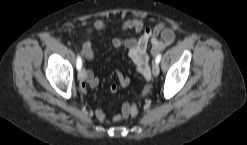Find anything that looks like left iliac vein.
<instances>
[{
    "label": "left iliac vein",
    "instance_id": "left-iliac-vein-1",
    "mask_svg": "<svg viewBox=\"0 0 247 145\" xmlns=\"http://www.w3.org/2000/svg\"><path fill=\"white\" fill-rule=\"evenodd\" d=\"M159 65L158 63H154L153 66H152V74L154 77H157L159 75Z\"/></svg>",
    "mask_w": 247,
    "mask_h": 145
}]
</instances>
